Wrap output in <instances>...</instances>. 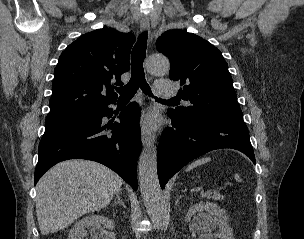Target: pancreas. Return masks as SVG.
<instances>
[{"label":"pancreas","mask_w":304,"mask_h":239,"mask_svg":"<svg viewBox=\"0 0 304 239\" xmlns=\"http://www.w3.org/2000/svg\"><path fill=\"white\" fill-rule=\"evenodd\" d=\"M213 199L219 200V199H220V197H215V196H213Z\"/></svg>","instance_id":"obj_1"}]
</instances>
